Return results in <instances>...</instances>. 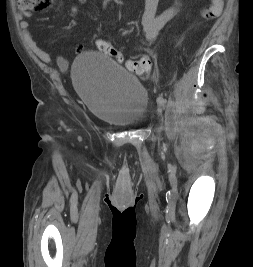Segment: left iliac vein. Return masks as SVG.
Returning a JSON list of instances; mask_svg holds the SVG:
<instances>
[{"label":"left iliac vein","instance_id":"obj_1","mask_svg":"<svg viewBox=\"0 0 253 267\" xmlns=\"http://www.w3.org/2000/svg\"><path fill=\"white\" fill-rule=\"evenodd\" d=\"M161 113V108H158V114H160Z\"/></svg>","mask_w":253,"mask_h":267}]
</instances>
